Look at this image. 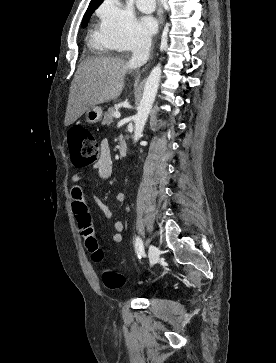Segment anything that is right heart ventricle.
Instances as JSON below:
<instances>
[{"mask_svg":"<svg viewBox=\"0 0 276 363\" xmlns=\"http://www.w3.org/2000/svg\"><path fill=\"white\" fill-rule=\"evenodd\" d=\"M89 43L99 53H109L117 49L116 45L105 37L101 29L91 31Z\"/></svg>","mask_w":276,"mask_h":363,"instance_id":"right-heart-ventricle-1","label":"right heart ventricle"}]
</instances>
